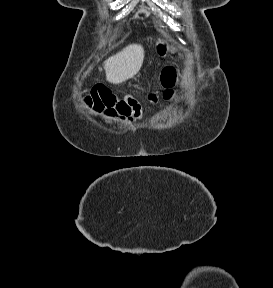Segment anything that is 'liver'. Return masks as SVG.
<instances>
[{
  "label": "liver",
  "mask_w": 273,
  "mask_h": 288,
  "mask_svg": "<svg viewBox=\"0 0 273 288\" xmlns=\"http://www.w3.org/2000/svg\"><path fill=\"white\" fill-rule=\"evenodd\" d=\"M144 60V49L141 45L131 44L105 61L106 80L119 84L134 77Z\"/></svg>",
  "instance_id": "liver-1"
}]
</instances>
